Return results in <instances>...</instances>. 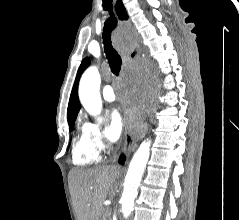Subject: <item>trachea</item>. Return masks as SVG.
I'll return each instance as SVG.
<instances>
[{"label":"trachea","instance_id":"obj_1","mask_svg":"<svg viewBox=\"0 0 239 220\" xmlns=\"http://www.w3.org/2000/svg\"><path fill=\"white\" fill-rule=\"evenodd\" d=\"M102 2L104 10L110 13V17L105 22L103 29V44L111 71L118 76L121 70L122 60L111 44V33L117 25V19L113 12L112 0H102Z\"/></svg>","mask_w":239,"mask_h":220}]
</instances>
